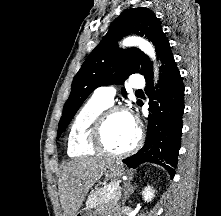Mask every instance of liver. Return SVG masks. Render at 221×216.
<instances>
[{
	"instance_id": "1",
	"label": "liver",
	"mask_w": 221,
	"mask_h": 216,
	"mask_svg": "<svg viewBox=\"0 0 221 216\" xmlns=\"http://www.w3.org/2000/svg\"><path fill=\"white\" fill-rule=\"evenodd\" d=\"M113 163L110 158H79L65 165L58 184L63 216H76L89 189Z\"/></svg>"
}]
</instances>
